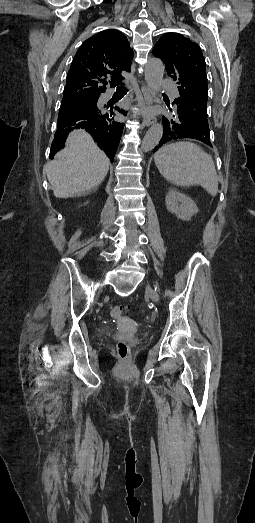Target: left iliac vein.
Masks as SVG:
<instances>
[{
    "instance_id": "4c4485c4",
    "label": "left iliac vein",
    "mask_w": 255,
    "mask_h": 523,
    "mask_svg": "<svg viewBox=\"0 0 255 523\" xmlns=\"http://www.w3.org/2000/svg\"><path fill=\"white\" fill-rule=\"evenodd\" d=\"M156 287H158L157 285H155ZM146 293L149 295V297L151 298L152 301L154 302H158L159 301V295L158 293L152 289L150 286H146Z\"/></svg>"
}]
</instances>
